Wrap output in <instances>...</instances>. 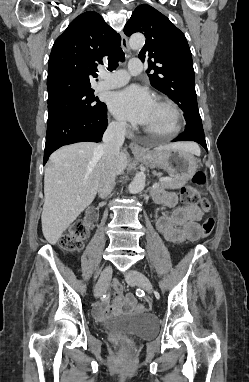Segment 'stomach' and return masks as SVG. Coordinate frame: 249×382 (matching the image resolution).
<instances>
[{"label":"stomach","mask_w":249,"mask_h":382,"mask_svg":"<svg viewBox=\"0 0 249 382\" xmlns=\"http://www.w3.org/2000/svg\"><path fill=\"white\" fill-rule=\"evenodd\" d=\"M137 158L151 168H162L172 177L183 178L186 181L192 178L198 167L194 155L181 148L165 149L161 146L152 151L148 150Z\"/></svg>","instance_id":"stomach-1"}]
</instances>
